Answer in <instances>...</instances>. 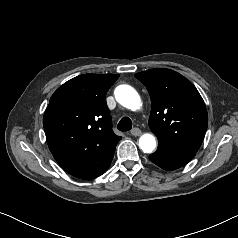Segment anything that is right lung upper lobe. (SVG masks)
Listing matches in <instances>:
<instances>
[{
	"label": "right lung upper lobe",
	"instance_id": "cb5924a9",
	"mask_svg": "<svg viewBox=\"0 0 238 238\" xmlns=\"http://www.w3.org/2000/svg\"><path fill=\"white\" fill-rule=\"evenodd\" d=\"M118 74H83L51 96L43 117L49 149L58 164L80 179L102 175L120 136L112 131L105 96Z\"/></svg>",
	"mask_w": 238,
	"mask_h": 238
}]
</instances>
